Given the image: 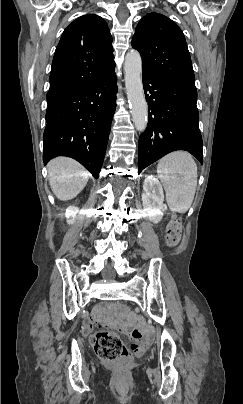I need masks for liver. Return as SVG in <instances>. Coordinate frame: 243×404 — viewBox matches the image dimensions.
I'll return each mask as SVG.
<instances>
[{"instance_id":"6515ba94","label":"liver","mask_w":243,"mask_h":404,"mask_svg":"<svg viewBox=\"0 0 243 404\" xmlns=\"http://www.w3.org/2000/svg\"><path fill=\"white\" fill-rule=\"evenodd\" d=\"M48 178L51 190L58 200H73L85 188L89 172L71 158H55L48 166Z\"/></svg>"}]
</instances>
